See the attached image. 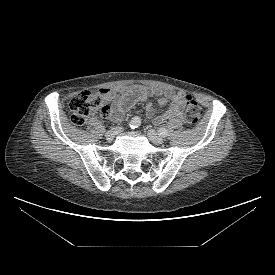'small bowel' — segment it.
<instances>
[{
	"mask_svg": "<svg viewBox=\"0 0 275 275\" xmlns=\"http://www.w3.org/2000/svg\"><path fill=\"white\" fill-rule=\"evenodd\" d=\"M106 102L109 103L103 114L113 121H120L123 115L136 103L145 102V110L148 118L155 124L166 121L181 120L184 109V93L172 89H158L144 85L120 86L115 89H101ZM158 97V104H169L168 109L158 114L154 103L150 100Z\"/></svg>",
	"mask_w": 275,
	"mask_h": 275,
	"instance_id": "1",
	"label": "small bowel"
}]
</instances>
